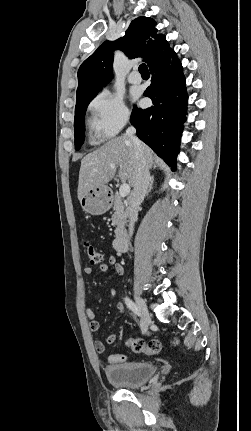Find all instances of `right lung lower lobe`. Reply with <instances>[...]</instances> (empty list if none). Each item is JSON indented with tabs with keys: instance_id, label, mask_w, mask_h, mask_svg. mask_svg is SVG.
<instances>
[{
	"instance_id": "98d812e1",
	"label": "right lung lower lobe",
	"mask_w": 251,
	"mask_h": 431,
	"mask_svg": "<svg viewBox=\"0 0 251 431\" xmlns=\"http://www.w3.org/2000/svg\"><path fill=\"white\" fill-rule=\"evenodd\" d=\"M150 71L151 85L144 96L153 106L144 110L134 106L130 122L137 136L175 171L188 101L182 65L173 52Z\"/></svg>"
}]
</instances>
